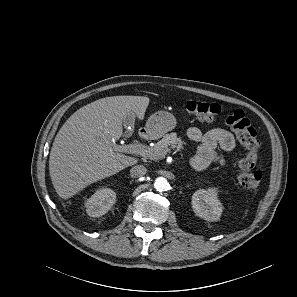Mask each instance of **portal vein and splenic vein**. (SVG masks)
<instances>
[{"mask_svg": "<svg viewBox=\"0 0 297 297\" xmlns=\"http://www.w3.org/2000/svg\"><path fill=\"white\" fill-rule=\"evenodd\" d=\"M116 149L121 151L124 150L128 153L138 154L143 157H153L155 156L151 147H147L142 144H129L126 146H116Z\"/></svg>", "mask_w": 297, "mask_h": 297, "instance_id": "18ae733b", "label": "portal vein and splenic vein"}]
</instances>
